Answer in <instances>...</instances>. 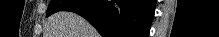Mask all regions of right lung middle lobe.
Segmentation results:
<instances>
[{"mask_svg": "<svg viewBox=\"0 0 219 37\" xmlns=\"http://www.w3.org/2000/svg\"><path fill=\"white\" fill-rule=\"evenodd\" d=\"M71 0H52L50 2V5L47 9V17L52 15L53 13H56L58 11H61L64 6H66L67 4L71 3Z\"/></svg>", "mask_w": 219, "mask_h": 37, "instance_id": "dd1d6c3e", "label": "right lung middle lobe"}]
</instances>
